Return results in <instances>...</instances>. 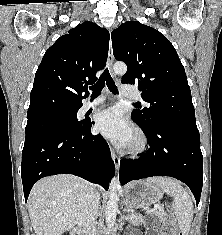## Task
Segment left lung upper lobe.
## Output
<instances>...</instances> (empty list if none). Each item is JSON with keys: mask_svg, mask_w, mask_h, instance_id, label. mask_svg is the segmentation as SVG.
Instances as JSON below:
<instances>
[{"mask_svg": "<svg viewBox=\"0 0 222 235\" xmlns=\"http://www.w3.org/2000/svg\"><path fill=\"white\" fill-rule=\"evenodd\" d=\"M113 54L128 65L122 83L136 84L149 108L133 110L142 127L177 123L197 128L185 69L173 45L156 29L128 21L112 31Z\"/></svg>", "mask_w": 222, "mask_h": 235, "instance_id": "left-lung-upper-lobe-1", "label": "left lung upper lobe"}]
</instances>
